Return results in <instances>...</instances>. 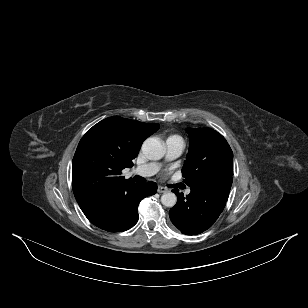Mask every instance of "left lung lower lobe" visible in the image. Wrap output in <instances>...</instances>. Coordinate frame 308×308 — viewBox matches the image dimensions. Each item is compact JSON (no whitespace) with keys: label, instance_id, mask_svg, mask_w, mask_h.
I'll return each instance as SVG.
<instances>
[{"label":"left lung lower lobe","instance_id":"left-lung-lower-lobe-1","mask_svg":"<svg viewBox=\"0 0 308 308\" xmlns=\"http://www.w3.org/2000/svg\"><path fill=\"white\" fill-rule=\"evenodd\" d=\"M231 185L232 176H223L191 187V192L186 197L174 189L178 201L169 211L172 223L183 234L196 235L204 232L223 211Z\"/></svg>","mask_w":308,"mask_h":308}]
</instances>
